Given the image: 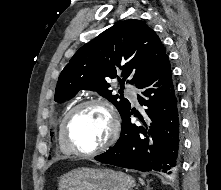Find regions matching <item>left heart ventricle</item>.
<instances>
[{"label": "left heart ventricle", "instance_id": "obj_1", "mask_svg": "<svg viewBox=\"0 0 221 190\" xmlns=\"http://www.w3.org/2000/svg\"><path fill=\"white\" fill-rule=\"evenodd\" d=\"M111 118L101 105H90L73 117L69 134L80 148L90 150L103 144L110 135Z\"/></svg>", "mask_w": 221, "mask_h": 190}]
</instances>
